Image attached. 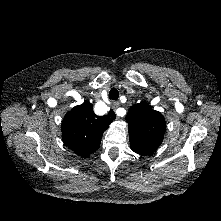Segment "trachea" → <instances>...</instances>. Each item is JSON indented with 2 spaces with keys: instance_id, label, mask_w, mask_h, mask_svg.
<instances>
[{
  "instance_id": "trachea-1",
  "label": "trachea",
  "mask_w": 221,
  "mask_h": 221,
  "mask_svg": "<svg viewBox=\"0 0 221 221\" xmlns=\"http://www.w3.org/2000/svg\"><path fill=\"white\" fill-rule=\"evenodd\" d=\"M109 99H111V100H116V99H118V97H119V92H118V90L117 89H111L110 91H109Z\"/></svg>"
}]
</instances>
